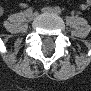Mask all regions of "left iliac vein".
Listing matches in <instances>:
<instances>
[{
    "mask_svg": "<svg viewBox=\"0 0 91 91\" xmlns=\"http://www.w3.org/2000/svg\"><path fill=\"white\" fill-rule=\"evenodd\" d=\"M42 12H44V13H54V14H57L55 12V10L53 8H51V7H44V8H42Z\"/></svg>",
    "mask_w": 91,
    "mask_h": 91,
    "instance_id": "obj_1",
    "label": "left iliac vein"
}]
</instances>
